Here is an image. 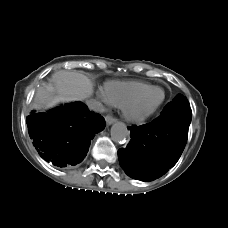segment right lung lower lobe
<instances>
[{
  "instance_id": "98d812e1",
  "label": "right lung lower lobe",
  "mask_w": 228,
  "mask_h": 228,
  "mask_svg": "<svg viewBox=\"0 0 228 228\" xmlns=\"http://www.w3.org/2000/svg\"><path fill=\"white\" fill-rule=\"evenodd\" d=\"M29 136L39 155L55 166L75 165L86 156L90 140L105 127L104 118L74 102L26 118Z\"/></svg>"
}]
</instances>
